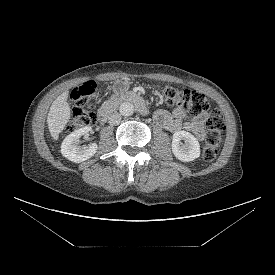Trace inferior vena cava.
<instances>
[{
    "mask_svg": "<svg viewBox=\"0 0 275 275\" xmlns=\"http://www.w3.org/2000/svg\"><path fill=\"white\" fill-rule=\"evenodd\" d=\"M120 121H121V115L117 112H114L109 117V124L112 125V126L116 125V124H119Z\"/></svg>",
    "mask_w": 275,
    "mask_h": 275,
    "instance_id": "602c4592",
    "label": "inferior vena cava"
}]
</instances>
